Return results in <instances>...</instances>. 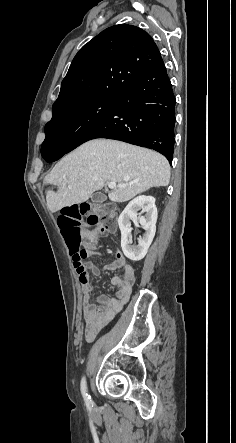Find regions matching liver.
<instances>
[{
    "label": "liver",
    "mask_w": 236,
    "mask_h": 443,
    "mask_svg": "<svg viewBox=\"0 0 236 443\" xmlns=\"http://www.w3.org/2000/svg\"><path fill=\"white\" fill-rule=\"evenodd\" d=\"M170 165L161 154L124 142L95 139L82 144L62 158L45 177L49 210L87 201L107 181L123 185L109 193L112 202H126L152 187L167 186Z\"/></svg>",
    "instance_id": "obj_1"
}]
</instances>
